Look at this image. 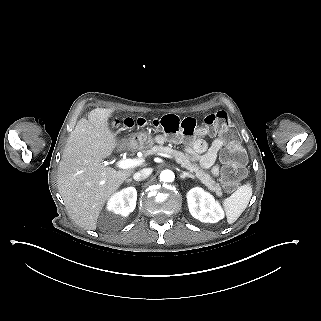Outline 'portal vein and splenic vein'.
Returning a JSON list of instances; mask_svg holds the SVG:
<instances>
[{
	"instance_id": "portal-vein-and-splenic-vein-1",
	"label": "portal vein and splenic vein",
	"mask_w": 321,
	"mask_h": 321,
	"mask_svg": "<svg viewBox=\"0 0 321 321\" xmlns=\"http://www.w3.org/2000/svg\"><path fill=\"white\" fill-rule=\"evenodd\" d=\"M161 156L169 158L170 160H173V157L170 154L161 153ZM142 162L143 160H140V159H122L117 162V166L122 169H127V168L136 167L140 165Z\"/></svg>"
}]
</instances>
